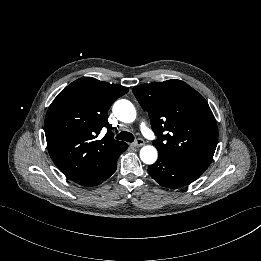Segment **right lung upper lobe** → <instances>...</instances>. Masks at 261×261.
<instances>
[{
  "instance_id": "cb5924a9",
  "label": "right lung upper lobe",
  "mask_w": 261,
  "mask_h": 261,
  "mask_svg": "<svg viewBox=\"0 0 261 261\" xmlns=\"http://www.w3.org/2000/svg\"><path fill=\"white\" fill-rule=\"evenodd\" d=\"M128 89L92 77H82L67 86L52 102L45 117L49 154L71 180L83 179L102 169L127 149L113 139L107 112ZM103 127L107 134L98 140Z\"/></svg>"
}]
</instances>
